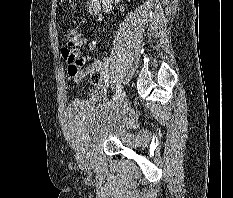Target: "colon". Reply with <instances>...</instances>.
<instances>
[{
    "label": "colon",
    "mask_w": 233,
    "mask_h": 198,
    "mask_svg": "<svg viewBox=\"0 0 233 198\" xmlns=\"http://www.w3.org/2000/svg\"><path fill=\"white\" fill-rule=\"evenodd\" d=\"M64 40L67 47H74L80 42V35L78 31L74 29H69L64 32ZM100 78L99 72L93 73V81L98 82Z\"/></svg>",
    "instance_id": "5ec220e1"
}]
</instances>
